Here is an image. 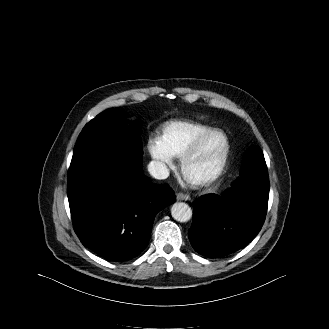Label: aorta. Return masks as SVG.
Returning <instances> with one entry per match:
<instances>
[{
	"label": "aorta",
	"instance_id": "aorta-1",
	"mask_svg": "<svg viewBox=\"0 0 329 329\" xmlns=\"http://www.w3.org/2000/svg\"><path fill=\"white\" fill-rule=\"evenodd\" d=\"M171 215L178 222H187L192 217V210L188 204L176 202L171 208Z\"/></svg>",
	"mask_w": 329,
	"mask_h": 329
}]
</instances>
